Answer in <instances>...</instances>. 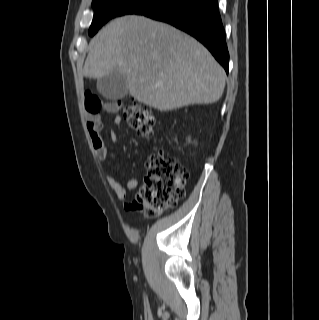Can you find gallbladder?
Returning a JSON list of instances; mask_svg holds the SVG:
<instances>
[{
  "instance_id": "gallbladder-1",
  "label": "gallbladder",
  "mask_w": 319,
  "mask_h": 320,
  "mask_svg": "<svg viewBox=\"0 0 319 320\" xmlns=\"http://www.w3.org/2000/svg\"><path fill=\"white\" fill-rule=\"evenodd\" d=\"M99 93L109 100H117L128 94L126 78L117 72H111L97 81Z\"/></svg>"
}]
</instances>
